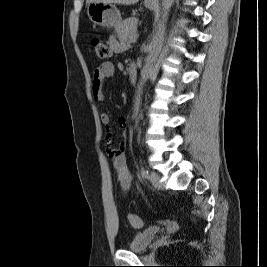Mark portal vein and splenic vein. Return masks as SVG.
Instances as JSON below:
<instances>
[{
    "instance_id": "1",
    "label": "portal vein and splenic vein",
    "mask_w": 267,
    "mask_h": 267,
    "mask_svg": "<svg viewBox=\"0 0 267 267\" xmlns=\"http://www.w3.org/2000/svg\"><path fill=\"white\" fill-rule=\"evenodd\" d=\"M137 38H138V35H137V34L132 35V36L129 37V41H130L131 43H135L136 40H137Z\"/></svg>"
}]
</instances>
